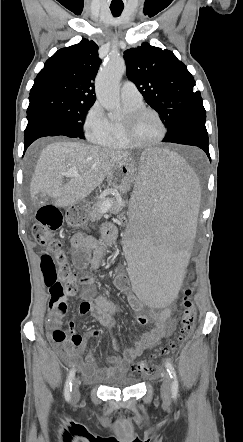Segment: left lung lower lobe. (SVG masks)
I'll list each match as a JSON object with an SVG mask.
<instances>
[{
	"instance_id": "0a47b994",
	"label": "left lung lower lobe",
	"mask_w": 243,
	"mask_h": 442,
	"mask_svg": "<svg viewBox=\"0 0 243 442\" xmlns=\"http://www.w3.org/2000/svg\"><path fill=\"white\" fill-rule=\"evenodd\" d=\"M206 114L196 115L185 121L171 136L163 142H171L197 146L205 151L210 158L208 149V133L205 127Z\"/></svg>"
}]
</instances>
